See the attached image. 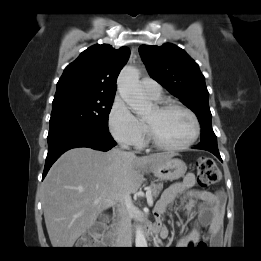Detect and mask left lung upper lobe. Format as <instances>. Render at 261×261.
Here are the masks:
<instances>
[{"label": "left lung upper lobe", "mask_w": 261, "mask_h": 261, "mask_svg": "<svg viewBox=\"0 0 261 261\" xmlns=\"http://www.w3.org/2000/svg\"><path fill=\"white\" fill-rule=\"evenodd\" d=\"M139 53L149 75L196 114L201 141L217 140L211 125L209 92L198 64L183 49L170 43L141 45Z\"/></svg>", "instance_id": "obj_1"}]
</instances>
